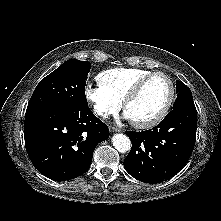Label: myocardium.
<instances>
[{
  "label": "myocardium",
  "mask_w": 221,
  "mask_h": 221,
  "mask_svg": "<svg viewBox=\"0 0 221 221\" xmlns=\"http://www.w3.org/2000/svg\"><path fill=\"white\" fill-rule=\"evenodd\" d=\"M156 76H162L168 81L170 87L168 99L165 105L163 106L162 110L155 117L146 121L131 120L132 125L135 126L136 128L148 129L158 125L167 116L174 102L176 95V88L172 78L168 74L162 71L151 72L148 75L142 77L140 80H138L136 84L133 86V88L130 90V92L127 94V96L124 98L122 106L125 112L129 104L133 102L140 95L146 83Z\"/></svg>",
  "instance_id": "f54148a6"
}]
</instances>
